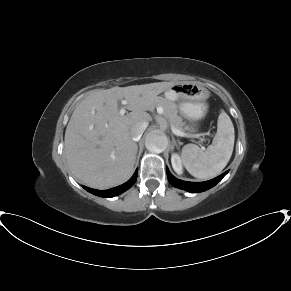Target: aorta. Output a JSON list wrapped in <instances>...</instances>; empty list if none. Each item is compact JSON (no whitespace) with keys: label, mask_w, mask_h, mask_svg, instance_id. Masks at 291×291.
I'll list each match as a JSON object with an SVG mask.
<instances>
[{"label":"aorta","mask_w":291,"mask_h":291,"mask_svg":"<svg viewBox=\"0 0 291 291\" xmlns=\"http://www.w3.org/2000/svg\"><path fill=\"white\" fill-rule=\"evenodd\" d=\"M145 146L152 152H163L168 146V139L165 134L152 131L146 136Z\"/></svg>","instance_id":"obj_1"}]
</instances>
